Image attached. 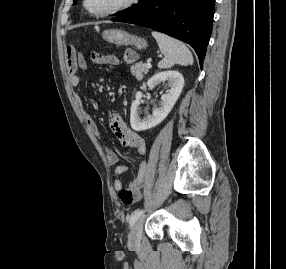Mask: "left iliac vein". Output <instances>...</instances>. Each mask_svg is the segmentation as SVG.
Returning <instances> with one entry per match:
<instances>
[{"label":"left iliac vein","mask_w":286,"mask_h":269,"mask_svg":"<svg viewBox=\"0 0 286 269\" xmlns=\"http://www.w3.org/2000/svg\"><path fill=\"white\" fill-rule=\"evenodd\" d=\"M143 221L139 219L132 227L129 233V245L137 246L140 244L142 238Z\"/></svg>","instance_id":"left-iliac-vein-1"}]
</instances>
